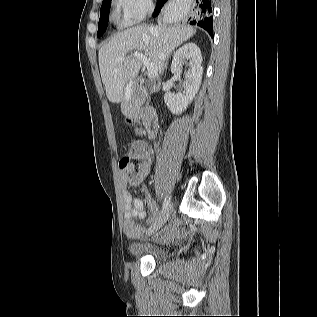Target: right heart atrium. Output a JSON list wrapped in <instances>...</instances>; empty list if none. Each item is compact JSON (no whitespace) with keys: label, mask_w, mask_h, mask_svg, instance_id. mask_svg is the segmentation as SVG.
Instances as JSON below:
<instances>
[{"label":"right heart atrium","mask_w":317,"mask_h":317,"mask_svg":"<svg viewBox=\"0 0 317 317\" xmlns=\"http://www.w3.org/2000/svg\"><path fill=\"white\" fill-rule=\"evenodd\" d=\"M122 25L134 26L144 20L153 10L152 0H115Z\"/></svg>","instance_id":"d8ad5b80"}]
</instances>
